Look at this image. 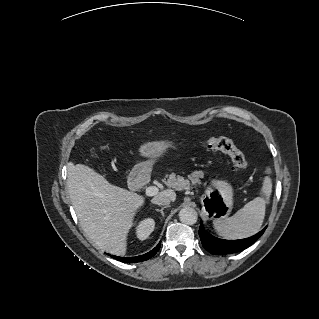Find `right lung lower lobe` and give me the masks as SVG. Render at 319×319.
Here are the masks:
<instances>
[{
    "mask_svg": "<svg viewBox=\"0 0 319 319\" xmlns=\"http://www.w3.org/2000/svg\"><path fill=\"white\" fill-rule=\"evenodd\" d=\"M160 245H161V243H159L150 252L143 254V255H140V256H136V257H118V256H113V255H111V257L114 259H117L121 262H127V263L142 262V261L148 260L149 258L153 257L160 249Z\"/></svg>",
    "mask_w": 319,
    "mask_h": 319,
    "instance_id": "obj_1",
    "label": "right lung lower lobe"
}]
</instances>
